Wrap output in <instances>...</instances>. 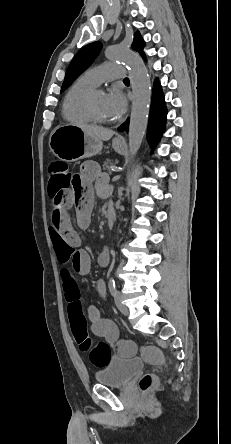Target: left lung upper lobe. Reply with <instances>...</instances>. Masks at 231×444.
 <instances>
[{"label": "left lung upper lobe", "instance_id": "obj_1", "mask_svg": "<svg viewBox=\"0 0 231 444\" xmlns=\"http://www.w3.org/2000/svg\"><path fill=\"white\" fill-rule=\"evenodd\" d=\"M144 41L139 32L134 35V40L132 43V49L137 51L143 58H145V53L143 51ZM100 42H93L84 46L73 58L71 64L68 67L66 76L61 88L63 92L67 87H69L73 81L90 66L93 60L96 58L101 50Z\"/></svg>", "mask_w": 231, "mask_h": 444}]
</instances>
